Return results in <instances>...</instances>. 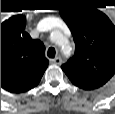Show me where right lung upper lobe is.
Segmentation results:
<instances>
[{"mask_svg": "<svg viewBox=\"0 0 115 114\" xmlns=\"http://www.w3.org/2000/svg\"><path fill=\"white\" fill-rule=\"evenodd\" d=\"M25 25L22 15L1 24V87L13 93L35 87L49 63L45 46L24 31Z\"/></svg>", "mask_w": 115, "mask_h": 114, "instance_id": "cb5924a9", "label": "right lung upper lobe"}]
</instances>
